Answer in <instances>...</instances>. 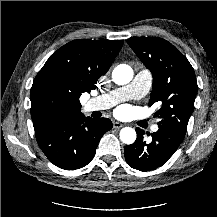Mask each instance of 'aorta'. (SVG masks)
Here are the masks:
<instances>
[{
  "mask_svg": "<svg viewBox=\"0 0 217 217\" xmlns=\"http://www.w3.org/2000/svg\"><path fill=\"white\" fill-rule=\"evenodd\" d=\"M133 78V69L127 64L116 66L112 72V79L118 85L128 84ZM136 131L131 127H124L120 131V139L125 144H132L136 140Z\"/></svg>",
  "mask_w": 217,
  "mask_h": 217,
  "instance_id": "1",
  "label": "aorta"
}]
</instances>
